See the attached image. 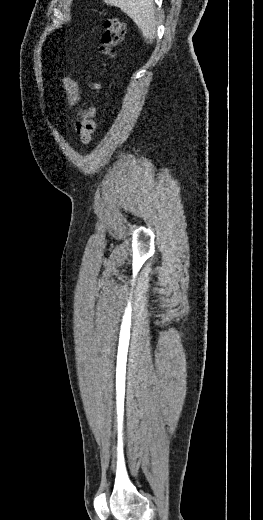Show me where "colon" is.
I'll return each mask as SVG.
<instances>
[{
    "instance_id": "colon-1",
    "label": "colon",
    "mask_w": 263,
    "mask_h": 520,
    "mask_svg": "<svg viewBox=\"0 0 263 520\" xmlns=\"http://www.w3.org/2000/svg\"><path fill=\"white\" fill-rule=\"evenodd\" d=\"M104 32L99 47L101 58L95 62L96 68L106 65V60L116 54V48L122 43L126 34L125 23L119 17H108L103 20ZM95 78L97 75H94ZM91 92L98 90L99 83L96 79L88 83ZM95 109L92 106H84L77 112L76 132L82 145H89L95 132Z\"/></svg>"
}]
</instances>
